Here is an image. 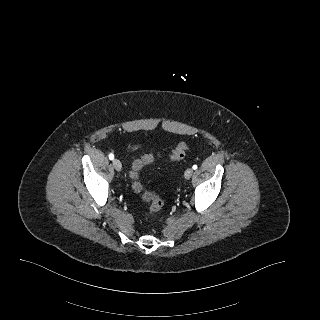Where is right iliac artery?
I'll use <instances>...</instances> for the list:
<instances>
[{
    "instance_id": "obj_1",
    "label": "right iliac artery",
    "mask_w": 320,
    "mask_h": 320,
    "mask_svg": "<svg viewBox=\"0 0 320 320\" xmlns=\"http://www.w3.org/2000/svg\"><path fill=\"white\" fill-rule=\"evenodd\" d=\"M114 158V155L112 153L109 154V159L112 160Z\"/></svg>"
}]
</instances>
